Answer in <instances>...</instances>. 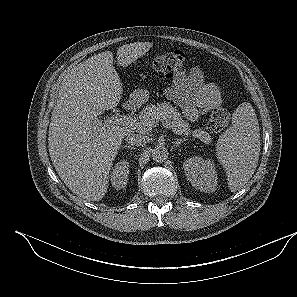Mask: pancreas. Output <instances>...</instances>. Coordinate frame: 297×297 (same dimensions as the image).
<instances>
[{
    "mask_svg": "<svg viewBox=\"0 0 297 297\" xmlns=\"http://www.w3.org/2000/svg\"><path fill=\"white\" fill-rule=\"evenodd\" d=\"M140 121L145 123V131L156 127L158 122L166 124L177 135L190 136L200 139L204 143H209L210 135L202 129L191 130L189 122L182 119L181 114L170 104L159 103L157 105H147L140 114Z\"/></svg>",
    "mask_w": 297,
    "mask_h": 297,
    "instance_id": "pancreas-1",
    "label": "pancreas"
}]
</instances>
